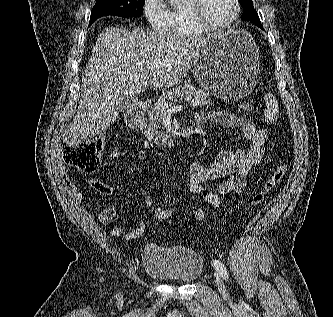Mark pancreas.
Returning <instances> with one entry per match:
<instances>
[{
    "label": "pancreas",
    "instance_id": "pancreas-1",
    "mask_svg": "<svg viewBox=\"0 0 333 317\" xmlns=\"http://www.w3.org/2000/svg\"><path fill=\"white\" fill-rule=\"evenodd\" d=\"M186 98L189 99L192 107H202L210 103L209 93L191 85H182L163 93L149 112V125L143 132L145 136L148 139L155 138L156 144H159V141L164 145L171 144V136L166 131L159 130L162 125L164 110L167 107H171L173 102H181Z\"/></svg>",
    "mask_w": 333,
    "mask_h": 317
}]
</instances>
